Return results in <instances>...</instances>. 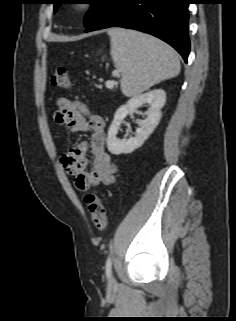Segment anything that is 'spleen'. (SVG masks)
<instances>
[{
  "label": "spleen",
  "instance_id": "1",
  "mask_svg": "<svg viewBox=\"0 0 236 321\" xmlns=\"http://www.w3.org/2000/svg\"><path fill=\"white\" fill-rule=\"evenodd\" d=\"M114 66L121 73V90L137 96L151 86L180 72L177 53L163 41L133 30L108 31Z\"/></svg>",
  "mask_w": 236,
  "mask_h": 321
}]
</instances>
